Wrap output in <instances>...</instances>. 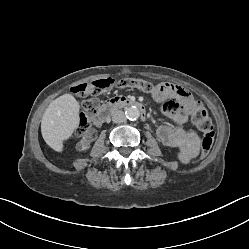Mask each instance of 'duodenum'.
Listing matches in <instances>:
<instances>
[{
    "mask_svg": "<svg viewBox=\"0 0 249 249\" xmlns=\"http://www.w3.org/2000/svg\"><path fill=\"white\" fill-rule=\"evenodd\" d=\"M121 107H135L136 109H138V111L141 113L144 119L145 108L140 102L136 100L127 99V98L116 97V98L110 99L105 105L101 107L100 112H99V120L102 122L106 121L107 119L110 118L111 114L113 113L115 109L121 108Z\"/></svg>",
    "mask_w": 249,
    "mask_h": 249,
    "instance_id": "obj_1",
    "label": "duodenum"
}]
</instances>
